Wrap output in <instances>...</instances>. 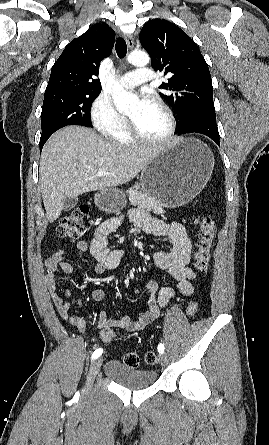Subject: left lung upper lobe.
I'll use <instances>...</instances> for the list:
<instances>
[{"instance_id":"obj_1","label":"left lung upper lobe","mask_w":269,"mask_h":445,"mask_svg":"<svg viewBox=\"0 0 269 445\" xmlns=\"http://www.w3.org/2000/svg\"><path fill=\"white\" fill-rule=\"evenodd\" d=\"M152 67L172 76L159 88L161 97L174 109L179 129L198 118H216L208 65L196 43L175 24L161 19L148 21L139 35Z\"/></svg>"}]
</instances>
